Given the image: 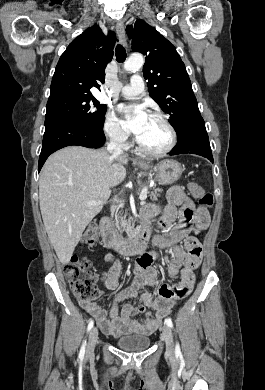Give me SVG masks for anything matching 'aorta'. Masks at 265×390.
<instances>
[{
  "mask_svg": "<svg viewBox=\"0 0 265 390\" xmlns=\"http://www.w3.org/2000/svg\"><path fill=\"white\" fill-rule=\"evenodd\" d=\"M144 64V58L141 54H132L124 63L126 71H137Z\"/></svg>",
  "mask_w": 265,
  "mask_h": 390,
  "instance_id": "1",
  "label": "aorta"
}]
</instances>
